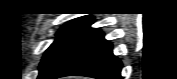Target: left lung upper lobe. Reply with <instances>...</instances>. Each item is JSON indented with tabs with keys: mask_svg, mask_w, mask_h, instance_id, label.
<instances>
[{
	"mask_svg": "<svg viewBox=\"0 0 177 79\" xmlns=\"http://www.w3.org/2000/svg\"><path fill=\"white\" fill-rule=\"evenodd\" d=\"M93 21L92 17L78 18L68 22L59 30L56 34L57 39L43 56L38 79H49L74 45L94 30L90 27Z\"/></svg>",
	"mask_w": 177,
	"mask_h": 79,
	"instance_id": "5c2ea615",
	"label": "left lung upper lobe"
}]
</instances>
